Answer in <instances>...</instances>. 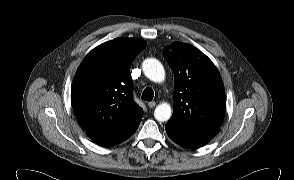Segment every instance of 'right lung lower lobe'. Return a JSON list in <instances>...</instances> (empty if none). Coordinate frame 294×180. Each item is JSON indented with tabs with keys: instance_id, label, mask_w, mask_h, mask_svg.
<instances>
[{
	"instance_id": "right-lung-lower-lobe-1",
	"label": "right lung lower lobe",
	"mask_w": 294,
	"mask_h": 180,
	"mask_svg": "<svg viewBox=\"0 0 294 180\" xmlns=\"http://www.w3.org/2000/svg\"><path fill=\"white\" fill-rule=\"evenodd\" d=\"M143 113L139 114L137 117L133 119V121L128 124L126 127H124L119 132L105 136V137H99L92 139L95 143L101 145V146H114L117 145L124 140L128 139L138 128L140 121L142 119Z\"/></svg>"
}]
</instances>
